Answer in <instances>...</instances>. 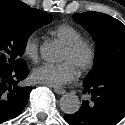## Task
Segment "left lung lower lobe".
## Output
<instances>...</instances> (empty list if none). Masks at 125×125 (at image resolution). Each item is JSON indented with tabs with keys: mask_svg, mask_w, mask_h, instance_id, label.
Wrapping results in <instances>:
<instances>
[{
	"mask_svg": "<svg viewBox=\"0 0 125 125\" xmlns=\"http://www.w3.org/2000/svg\"><path fill=\"white\" fill-rule=\"evenodd\" d=\"M83 86L92 102H83L75 114L64 115L69 125H116L125 116V73L107 74Z\"/></svg>",
	"mask_w": 125,
	"mask_h": 125,
	"instance_id": "1",
	"label": "left lung lower lobe"
}]
</instances>
